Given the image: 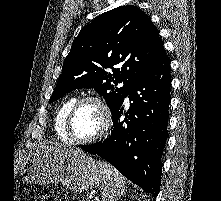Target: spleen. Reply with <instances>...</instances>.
<instances>
[{
    "label": "spleen",
    "instance_id": "obj_1",
    "mask_svg": "<svg viewBox=\"0 0 221 201\" xmlns=\"http://www.w3.org/2000/svg\"><path fill=\"white\" fill-rule=\"evenodd\" d=\"M104 170L107 184L102 188L103 201H117L125 191V180L123 176L112 165L105 161H99Z\"/></svg>",
    "mask_w": 221,
    "mask_h": 201
}]
</instances>
